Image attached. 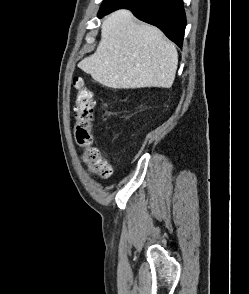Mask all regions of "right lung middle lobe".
I'll return each mask as SVG.
<instances>
[{"label": "right lung middle lobe", "instance_id": "right-lung-middle-lobe-1", "mask_svg": "<svg viewBox=\"0 0 249 294\" xmlns=\"http://www.w3.org/2000/svg\"><path fill=\"white\" fill-rule=\"evenodd\" d=\"M121 1L122 0H104L102 5H101L100 11H103V10H105V9L111 7V6H114V5L118 4Z\"/></svg>", "mask_w": 249, "mask_h": 294}]
</instances>
